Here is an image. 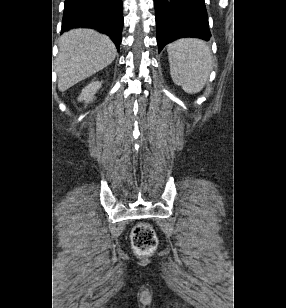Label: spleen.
I'll list each match as a JSON object with an SVG mask.
<instances>
[{
  "label": "spleen",
  "mask_w": 286,
  "mask_h": 308,
  "mask_svg": "<svg viewBox=\"0 0 286 308\" xmlns=\"http://www.w3.org/2000/svg\"><path fill=\"white\" fill-rule=\"evenodd\" d=\"M167 52L174 83L189 94L201 91L213 68L208 45L200 39L184 38L170 43Z\"/></svg>",
  "instance_id": "1"
}]
</instances>
